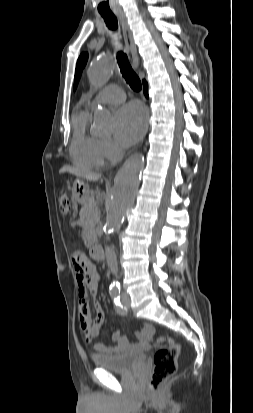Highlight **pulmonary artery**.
<instances>
[{
  "instance_id": "1",
  "label": "pulmonary artery",
  "mask_w": 253,
  "mask_h": 413,
  "mask_svg": "<svg viewBox=\"0 0 253 413\" xmlns=\"http://www.w3.org/2000/svg\"><path fill=\"white\" fill-rule=\"evenodd\" d=\"M125 94L118 86L110 85L103 89L97 96L96 101L104 104H118L123 102ZM94 102L89 103L93 106Z\"/></svg>"
}]
</instances>
